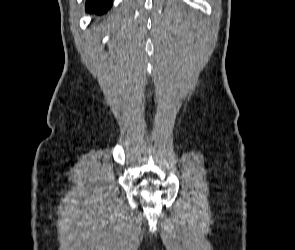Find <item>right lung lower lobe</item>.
Returning a JSON list of instances; mask_svg holds the SVG:
<instances>
[{"label": "right lung lower lobe", "mask_w": 295, "mask_h": 250, "mask_svg": "<svg viewBox=\"0 0 295 250\" xmlns=\"http://www.w3.org/2000/svg\"><path fill=\"white\" fill-rule=\"evenodd\" d=\"M111 4L112 0H87L86 11L101 15L110 8Z\"/></svg>", "instance_id": "1"}]
</instances>
